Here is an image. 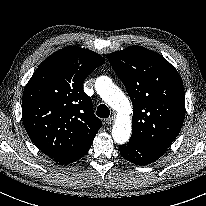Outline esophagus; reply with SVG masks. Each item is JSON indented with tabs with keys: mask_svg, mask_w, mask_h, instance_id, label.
Segmentation results:
<instances>
[{
	"mask_svg": "<svg viewBox=\"0 0 206 206\" xmlns=\"http://www.w3.org/2000/svg\"><path fill=\"white\" fill-rule=\"evenodd\" d=\"M113 122H114V117L113 116H111V117H109L105 120V123L107 125H111V124H113Z\"/></svg>",
	"mask_w": 206,
	"mask_h": 206,
	"instance_id": "esophagus-1",
	"label": "esophagus"
}]
</instances>
